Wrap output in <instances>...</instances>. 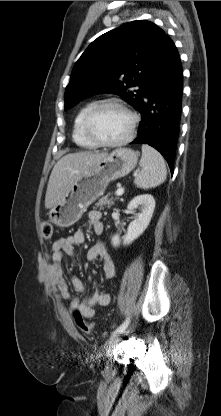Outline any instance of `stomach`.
<instances>
[{"label":"stomach","instance_id":"1","mask_svg":"<svg viewBox=\"0 0 221 416\" xmlns=\"http://www.w3.org/2000/svg\"><path fill=\"white\" fill-rule=\"evenodd\" d=\"M138 153L130 148H118L85 170L69 191L49 212V219L59 227L76 223L87 208L105 192L108 184L131 172Z\"/></svg>","mask_w":221,"mask_h":416}]
</instances>
